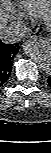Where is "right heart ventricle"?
I'll use <instances>...</instances> for the list:
<instances>
[{
    "label": "right heart ventricle",
    "mask_w": 51,
    "mask_h": 153,
    "mask_svg": "<svg viewBox=\"0 0 51 153\" xmlns=\"http://www.w3.org/2000/svg\"><path fill=\"white\" fill-rule=\"evenodd\" d=\"M24 16L42 18L51 8V0H20Z\"/></svg>",
    "instance_id": "1"
}]
</instances>
